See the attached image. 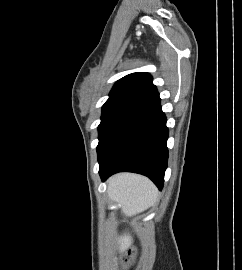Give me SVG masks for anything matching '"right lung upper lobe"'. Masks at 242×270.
I'll return each instance as SVG.
<instances>
[{
    "mask_svg": "<svg viewBox=\"0 0 242 270\" xmlns=\"http://www.w3.org/2000/svg\"><path fill=\"white\" fill-rule=\"evenodd\" d=\"M104 106L125 104L140 106L159 96L149 73L137 72L118 80Z\"/></svg>",
    "mask_w": 242,
    "mask_h": 270,
    "instance_id": "obj_1",
    "label": "right lung upper lobe"
}]
</instances>
